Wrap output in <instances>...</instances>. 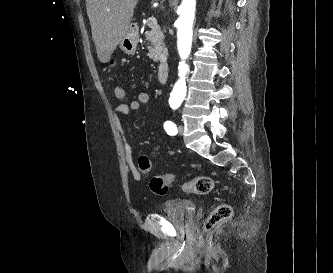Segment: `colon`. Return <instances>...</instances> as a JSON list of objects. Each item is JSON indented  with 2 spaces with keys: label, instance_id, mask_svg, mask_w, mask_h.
Returning <instances> with one entry per match:
<instances>
[{
  "label": "colon",
  "instance_id": "obj_1",
  "mask_svg": "<svg viewBox=\"0 0 333 273\" xmlns=\"http://www.w3.org/2000/svg\"><path fill=\"white\" fill-rule=\"evenodd\" d=\"M113 96L116 100L125 99V91L120 86L113 89ZM137 168L142 174H149L151 164L146 156H139L137 160ZM177 176L173 173L163 176H153L149 183L150 190L159 195H163L168 191L169 186L176 180ZM214 188V180L209 176H198L182 184V190L185 193H193L197 195L208 194ZM232 216V208L228 204L217 206L208 216L204 229L211 232L221 223L226 222Z\"/></svg>",
  "mask_w": 333,
  "mask_h": 273
}]
</instances>
